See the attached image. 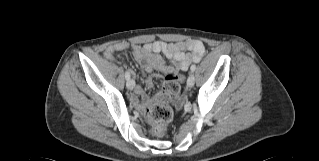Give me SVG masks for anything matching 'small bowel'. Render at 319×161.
I'll list each match as a JSON object with an SVG mask.
<instances>
[{
    "label": "small bowel",
    "instance_id": "c3829d8e",
    "mask_svg": "<svg viewBox=\"0 0 319 161\" xmlns=\"http://www.w3.org/2000/svg\"><path fill=\"white\" fill-rule=\"evenodd\" d=\"M127 43H117L108 46L105 50V55L109 58H114L116 53L128 48ZM133 55L140 67L146 72L158 71L167 72L170 67L163 58L173 64L179 71L186 72L190 65L199 62L205 53V46L201 41L190 40L180 42H164L155 40L143 45H133ZM163 55V56H162ZM151 84L150 81L147 82ZM135 96L131 99L134 105L139 103V98L142 97L140 112L145 113V106L150 103L148 97L144 96L143 89L137 85L134 88ZM182 104V98L179 92L174 96V106L179 108Z\"/></svg>",
    "mask_w": 319,
    "mask_h": 161
}]
</instances>
